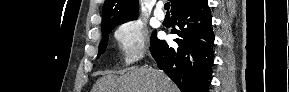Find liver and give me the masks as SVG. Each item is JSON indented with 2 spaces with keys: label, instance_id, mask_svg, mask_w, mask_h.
Here are the masks:
<instances>
[{
  "label": "liver",
  "instance_id": "liver-1",
  "mask_svg": "<svg viewBox=\"0 0 289 92\" xmlns=\"http://www.w3.org/2000/svg\"><path fill=\"white\" fill-rule=\"evenodd\" d=\"M92 92H178L177 86L157 69L132 68L117 76L108 74L96 82Z\"/></svg>",
  "mask_w": 289,
  "mask_h": 92
}]
</instances>
